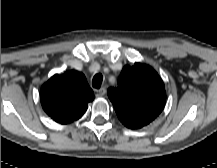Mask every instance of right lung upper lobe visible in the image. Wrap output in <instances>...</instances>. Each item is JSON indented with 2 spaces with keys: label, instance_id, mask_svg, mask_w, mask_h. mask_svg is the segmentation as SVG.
Segmentation results:
<instances>
[{
  "label": "right lung upper lobe",
  "instance_id": "right-lung-upper-lobe-1",
  "mask_svg": "<svg viewBox=\"0 0 217 168\" xmlns=\"http://www.w3.org/2000/svg\"><path fill=\"white\" fill-rule=\"evenodd\" d=\"M40 99L44 111L53 120L68 124L85 113L94 93L84 74L69 70L52 76L43 85Z\"/></svg>",
  "mask_w": 217,
  "mask_h": 168
}]
</instances>
